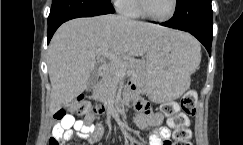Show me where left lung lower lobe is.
Here are the masks:
<instances>
[{
	"label": "left lung lower lobe",
	"mask_w": 243,
	"mask_h": 145,
	"mask_svg": "<svg viewBox=\"0 0 243 145\" xmlns=\"http://www.w3.org/2000/svg\"><path fill=\"white\" fill-rule=\"evenodd\" d=\"M161 25L191 33L205 46L209 55L211 54L213 33L199 31L196 27L191 25L188 21H186V19L177 13H174L173 17L169 21L161 23Z\"/></svg>",
	"instance_id": "left-lung-lower-lobe-1"
}]
</instances>
